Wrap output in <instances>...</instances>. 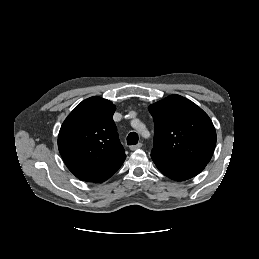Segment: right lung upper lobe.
Instances as JSON below:
<instances>
[{
  "label": "right lung upper lobe",
  "mask_w": 259,
  "mask_h": 259,
  "mask_svg": "<svg viewBox=\"0 0 259 259\" xmlns=\"http://www.w3.org/2000/svg\"><path fill=\"white\" fill-rule=\"evenodd\" d=\"M115 106L90 97L65 119L58 135V149L68 169L80 180L100 183L123 164L126 155L113 121Z\"/></svg>",
  "instance_id": "right-lung-upper-lobe-1"
}]
</instances>
